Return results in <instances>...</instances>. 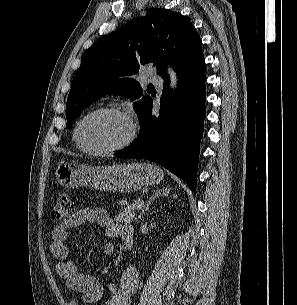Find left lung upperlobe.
Instances as JSON below:
<instances>
[{
    "mask_svg": "<svg viewBox=\"0 0 297 305\" xmlns=\"http://www.w3.org/2000/svg\"><path fill=\"white\" fill-rule=\"evenodd\" d=\"M165 63L175 71L184 66L205 69L202 42L185 16L152 8L145 17L130 21L86 51L68 95L66 128L86 106L106 94L139 99L142 87L126 76L137 73L140 65L153 64L164 78ZM150 100L145 96L134 103L139 115Z\"/></svg>",
    "mask_w": 297,
    "mask_h": 305,
    "instance_id": "1",
    "label": "left lung upper lobe"
}]
</instances>
